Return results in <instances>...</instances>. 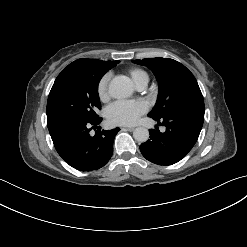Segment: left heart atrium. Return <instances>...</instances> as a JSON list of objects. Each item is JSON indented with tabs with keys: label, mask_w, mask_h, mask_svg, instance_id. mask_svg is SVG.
<instances>
[{
	"label": "left heart atrium",
	"mask_w": 247,
	"mask_h": 247,
	"mask_svg": "<svg viewBox=\"0 0 247 247\" xmlns=\"http://www.w3.org/2000/svg\"><path fill=\"white\" fill-rule=\"evenodd\" d=\"M142 101H117L109 106L107 117L113 124L131 125L147 111Z\"/></svg>",
	"instance_id": "obj_1"
}]
</instances>
